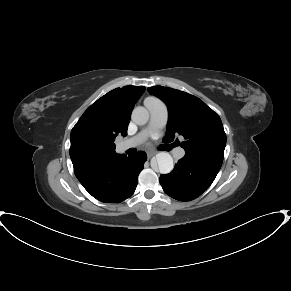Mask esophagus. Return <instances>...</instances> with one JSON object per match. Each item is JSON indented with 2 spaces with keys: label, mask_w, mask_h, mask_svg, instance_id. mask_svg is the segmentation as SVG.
<instances>
[{
  "label": "esophagus",
  "mask_w": 291,
  "mask_h": 291,
  "mask_svg": "<svg viewBox=\"0 0 291 291\" xmlns=\"http://www.w3.org/2000/svg\"><path fill=\"white\" fill-rule=\"evenodd\" d=\"M155 154H156L155 151H148V152H147V156H148V158L153 157Z\"/></svg>",
  "instance_id": "1"
}]
</instances>
